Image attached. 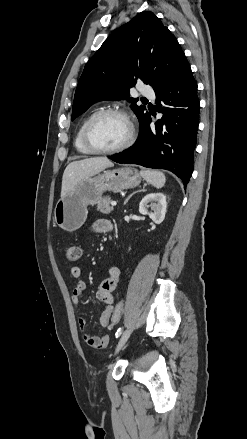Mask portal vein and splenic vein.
I'll return each instance as SVG.
<instances>
[{
  "mask_svg": "<svg viewBox=\"0 0 247 439\" xmlns=\"http://www.w3.org/2000/svg\"><path fill=\"white\" fill-rule=\"evenodd\" d=\"M117 205V202L116 201H112L111 202V206H116Z\"/></svg>",
  "mask_w": 247,
  "mask_h": 439,
  "instance_id": "18ae733b",
  "label": "portal vein and splenic vein"
}]
</instances>
